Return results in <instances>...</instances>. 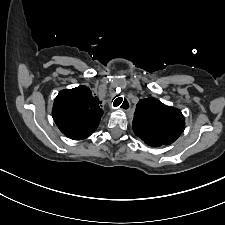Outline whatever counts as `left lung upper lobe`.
Returning <instances> with one entry per match:
<instances>
[{
	"mask_svg": "<svg viewBox=\"0 0 225 225\" xmlns=\"http://www.w3.org/2000/svg\"><path fill=\"white\" fill-rule=\"evenodd\" d=\"M185 121L179 109L155 98L140 100L133 119V131L152 147L170 145L183 132Z\"/></svg>",
	"mask_w": 225,
	"mask_h": 225,
	"instance_id": "5c2ea615",
	"label": "left lung upper lobe"
}]
</instances>
